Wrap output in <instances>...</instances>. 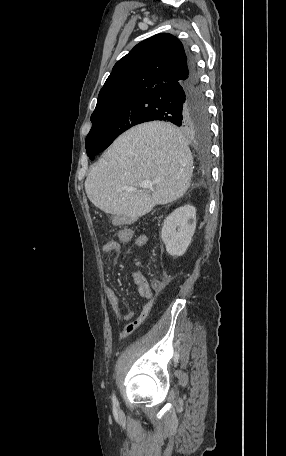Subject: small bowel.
<instances>
[{"label": "small bowel", "instance_id": "1", "mask_svg": "<svg viewBox=\"0 0 286 456\" xmlns=\"http://www.w3.org/2000/svg\"><path fill=\"white\" fill-rule=\"evenodd\" d=\"M132 238V233L127 234V229H122L117 234V240H107L102 246V252L106 255L117 254L121 251V243L128 242ZM148 237L145 234L138 235L135 239V246L138 248H143L147 245ZM132 281L136 286L138 295L144 300V304L140 314L130 323H128L123 331L121 332V337L125 338L130 335L140 324H142L148 315L150 314L153 306V290L149 285L148 281L140 272H133ZM106 298L113 309L116 317L120 321L131 320L135 313L130 311L124 313L121 306L117 293L112 288H107L105 290Z\"/></svg>", "mask_w": 286, "mask_h": 456}]
</instances>
